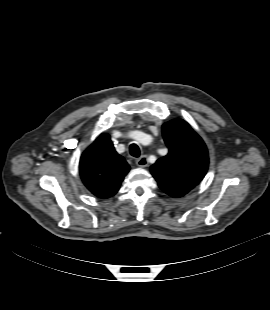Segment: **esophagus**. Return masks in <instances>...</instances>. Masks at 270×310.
Wrapping results in <instances>:
<instances>
[{"mask_svg":"<svg viewBox=\"0 0 270 310\" xmlns=\"http://www.w3.org/2000/svg\"><path fill=\"white\" fill-rule=\"evenodd\" d=\"M136 165L139 167H147L148 166V159L146 156H142L141 158L136 160Z\"/></svg>","mask_w":270,"mask_h":310,"instance_id":"34e87169","label":"esophagus"}]
</instances>
